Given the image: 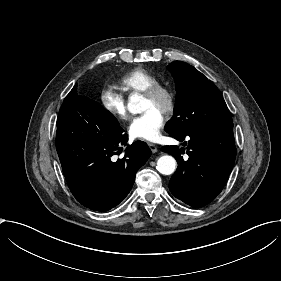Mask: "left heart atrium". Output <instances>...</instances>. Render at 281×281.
I'll use <instances>...</instances> for the list:
<instances>
[{
    "label": "left heart atrium",
    "instance_id": "1",
    "mask_svg": "<svg viewBox=\"0 0 281 281\" xmlns=\"http://www.w3.org/2000/svg\"><path fill=\"white\" fill-rule=\"evenodd\" d=\"M164 117L161 112L149 109L135 117L128 126L131 137L147 142H157L161 139Z\"/></svg>",
    "mask_w": 281,
    "mask_h": 281
}]
</instances>
